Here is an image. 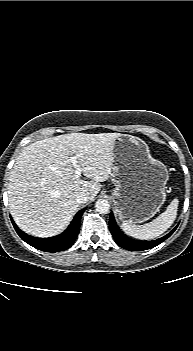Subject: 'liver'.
Wrapping results in <instances>:
<instances>
[{
	"mask_svg": "<svg viewBox=\"0 0 193 351\" xmlns=\"http://www.w3.org/2000/svg\"><path fill=\"white\" fill-rule=\"evenodd\" d=\"M119 133H71L36 141L25 147L9 178L10 213L24 232L52 237L69 225L86 192L93 200L113 172L114 140ZM75 156L82 173L75 176L70 157Z\"/></svg>",
	"mask_w": 193,
	"mask_h": 351,
	"instance_id": "obj_1",
	"label": "liver"
}]
</instances>
